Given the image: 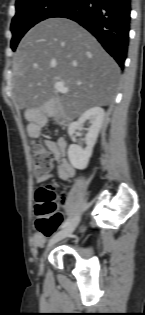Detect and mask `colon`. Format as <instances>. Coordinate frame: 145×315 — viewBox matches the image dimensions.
<instances>
[{
  "mask_svg": "<svg viewBox=\"0 0 145 315\" xmlns=\"http://www.w3.org/2000/svg\"><path fill=\"white\" fill-rule=\"evenodd\" d=\"M33 165L36 176L48 173L52 167V154L38 142L32 146ZM36 229L44 236H51L63 222V216L57 211L55 193L51 186L36 191Z\"/></svg>",
  "mask_w": 145,
  "mask_h": 315,
  "instance_id": "colon-1",
  "label": "colon"
}]
</instances>
